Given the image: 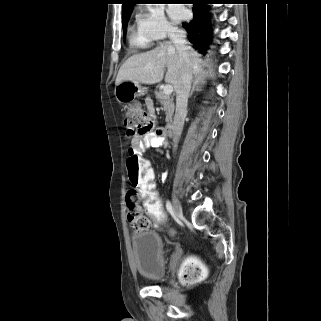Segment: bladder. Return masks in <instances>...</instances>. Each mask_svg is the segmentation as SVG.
<instances>
[{
	"label": "bladder",
	"instance_id": "31cf9c89",
	"mask_svg": "<svg viewBox=\"0 0 321 321\" xmlns=\"http://www.w3.org/2000/svg\"><path fill=\"white\" fill-rule=\"evenodd\" d=\"M131 247L138 272L152 281L165 275L163 240L155 231H141L131 235Z\"/></svg>",
	"mask_w": 321,
	"mask_h": 321
}]
</instances>
